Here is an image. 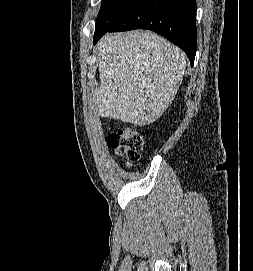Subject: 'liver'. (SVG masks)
Returning <instances> with one entry per match:
<instances>
[{"label": "liver", "instance_id": "obj_1", "mask_svg": "<svg viewBox=\"0 0 253 271\" xmlns=\"http://www.w3.org/2000/svg\"><path fill=\"white\" fill-rule=\"evenodd\" d=\"M96 50L101 82L94 97L98 114L135 126L160 118L179 90L185 54L144 30L107 34Z\"/></svg>", "mask_w": 253, "mask_h": 271}]
</instances>
